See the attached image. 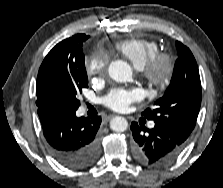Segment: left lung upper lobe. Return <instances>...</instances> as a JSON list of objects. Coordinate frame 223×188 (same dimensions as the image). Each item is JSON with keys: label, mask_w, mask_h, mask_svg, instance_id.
Returning a JSON list of instances; mask_svg holds the SVG:
<instances>
[{"label": "left lung upper lobe", "mask_w": 223, "mask_h": 188, "mask_svg": "<svg viewBox=\"0 0 223 188\" xmlns=\"http://www.w3.org/2000/svg\"><path fill=\"white\" fill-rule=\"evenodd\" d=\"M178 59L173 76L163 97L155 102L154 109L142 115L164 126L184 143L195 127L200 110L202 91L196 60L186 46L176 42Z\"/></svg>", "instance_id": "1"}]
</instances>
